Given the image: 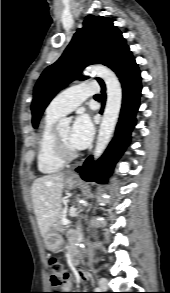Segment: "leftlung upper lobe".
I'll return each mask as SVG.
<instances>
[{"instance_id": "left-lung-upper-lobe-1", "label": "left lung upper lobe", "mask_w": 170, "mask_h": 293, "mask_svg": "<svg viewBox=\"0 0 170 293\" xmlns=\"http://www.w3.org/2000/svg\"><path fill=\"white\" fill-rule=\"evenodd\" d=\"M129 47L110 18L89 15L78 29L62 56L47 67L34 88L32 122L37 128L41 115L51 99L75 79L84 80L80 73L90 64L110 68ZM99 83L103 82L97 78Z\"/></svg>"}]
</instances>
